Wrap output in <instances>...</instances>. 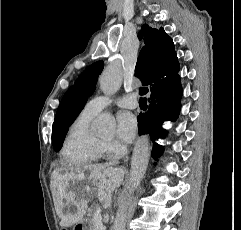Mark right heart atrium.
<instances>
[{"label": "right heart atrium", "instance_id": "d8ad5b80", "mask_svg": "<svg viewBox=\"0 0 241 230\" xmlns=\"http://www.w3.org/2000/svg\"><path fill=\"white\" fill-rule=\"evenodd\" d=\"M102 152L106 154H117L123 150V146L116 141H104L101 142Z\"/></svg>", "mask_w": 241, "mask_h": 230}]
</instances>
